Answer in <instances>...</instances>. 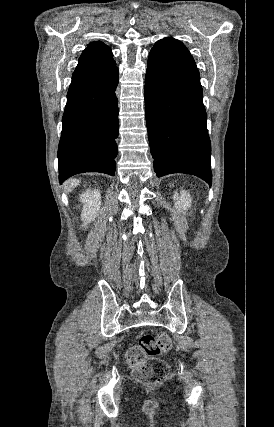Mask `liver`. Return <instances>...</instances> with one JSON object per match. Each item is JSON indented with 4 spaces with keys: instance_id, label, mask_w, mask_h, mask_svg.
<instances>
[{
    "instance_id": "1",
    "label": "liver",
    "mask_w": 274,
    "mask_h": 427,
    "mask_svg": "<svg viewBox=\"0 0 274 427\" xmlns=\"http://www.w3.org/2000/svg\"><path fill=\"white\" fill-rule=\"evenodd\" d=\"M80 182L79 180H67V182H65V188L67 190V192H71V190H74V188H77V186H79Z\"/></svg>"
}]
</instances>
